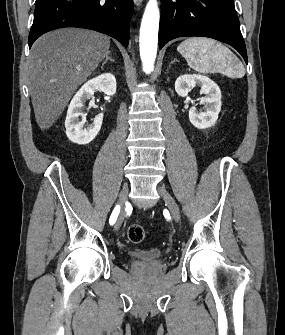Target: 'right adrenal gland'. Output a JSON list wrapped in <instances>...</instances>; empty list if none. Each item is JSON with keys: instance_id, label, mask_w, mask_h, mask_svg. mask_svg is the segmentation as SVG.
<instances>
[{"instance_id": "obj_1", "label": "right adrenal gland", "mask_w": 285, "mask_h": 335, "mask_svg": "<svg viewBox=\"0 0 285 335\" xmlns=\"http://www.w3.org/2000/svg\"><path fill=\"white\" fill-rule=\"evenodd\" d=\"M108 60H110V62H115V60H113L112 56H108V54H107L105 62H102V68H103V66H105V64H107Z\"/></svg>"}]
</instances>
